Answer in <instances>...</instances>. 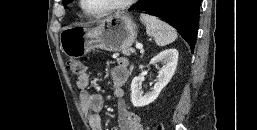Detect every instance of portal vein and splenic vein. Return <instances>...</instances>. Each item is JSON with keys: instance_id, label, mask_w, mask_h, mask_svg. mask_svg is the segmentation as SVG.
<instances>
[{"instance_id": "1", "label": "portal vein and splenic vein", "mask_w": 257, "mask_h": 130, "mask_svg": "<svg viewBox=\"0 0 257 130\" xmlns=\"http://www.w3.org/2000/svg\"><path fill=\"white\" fill-rule=\"evenodd\" d=\"M136 48H137V49H142V48H143V46H142V45H140V44H138V45H136Z\"/></svg>"}]
</instances>
